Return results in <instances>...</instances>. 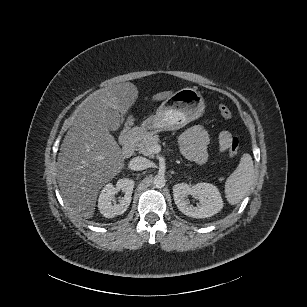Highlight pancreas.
Here are the masks:
<instances>
[{"label":"pancreas","instance_id":"cf45deb5","mask_svg":"<svg viewBox=\"0 0 307 307\" xmlns=\"http://www.w3.org/2000/svg\"><path fill=\"white\" fill-rule=\"evenodd\" d=\"M158 141H159L158 135L156 134L147 135L140 141L136 142L134 146L143 155L153 158L155 154L153 146L157 144Z\"/></svg>","mask_w":307,"mask_h":307}]
</instances>
